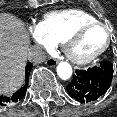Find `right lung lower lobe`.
<instances>
[{"instance_id":"right-lung-lower-lobe-1","label":"right lung lower lobe","mask_w":117,"mask_h":117,"mask_svg":"<svg viewBox=\"0 0 117 117\" xmlns=\"http://www.w3.org/2000/svg\"><path fill=\"white\" fill-rule=\"evenodd\" d=\"M31 69H32V64L28 63L25 69V83L17 92H15L11 96H0V107L18 103L19 101L23 99L27 91L28 79H29V74H30Z\"/></svg>"}]
</instances>
